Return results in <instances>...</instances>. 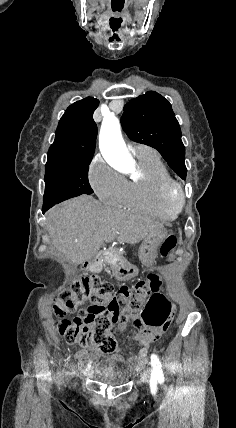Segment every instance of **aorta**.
Listing matches in <instances>:
<instances>
[{"instance_id": "1", "label": "aorta", "mask_w": 236, "mask_h": 428, "mask_svg": "<svg viewBox=\"0 0 236 428\" xmlns=\"http://www.w3.org/2000/svg\"><path fill=\"white\" fill-rule=\"evenodd\" d=\"M99 145L102 155L111 164L124 169L133 166V160L122 138L119 120L113 113H108L103 118Z\"/></svg>"}]
</instances>
